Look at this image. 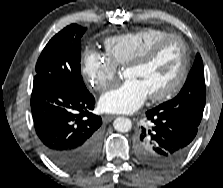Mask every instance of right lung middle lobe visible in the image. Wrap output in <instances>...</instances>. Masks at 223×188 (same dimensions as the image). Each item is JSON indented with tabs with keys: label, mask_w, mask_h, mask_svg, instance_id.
Returning a JSON list of instances; mask_svg holds the SVG:
<instances>
[{
	"label": "right lung middle lobe",
	"mask_w": 223,
	"mask_h": 188,
	"mask_svg": "<svg viewBox=\"0 0 223 188\" xmlns=\"http://www.w3.org/2000/svg\"><path fill=\"white\" fill-rule=\"evenodd\" d=\"M85 30L71 24L48 42L37 61L34 82L58 85L78 94L88 93L80 69V39Z\"/></svg>",
	"instance_id": "dd1d6c3e"
}]
</instances>
